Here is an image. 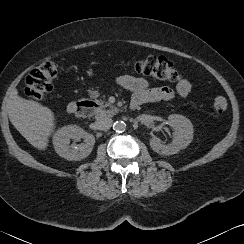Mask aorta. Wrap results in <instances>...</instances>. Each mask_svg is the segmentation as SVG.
I'll list each match as a JSON object with an SVG mask.
<instances>
[{
  "label": "aorta",
  "mask_w": 244,
  "mask_h": 244,
  "mask_svg": "<svg viewBox=\"0 0 244 244\" xmlns=\"http://www.w3.org/2000/svg\"><path fill=\"white\" fill-rule=\"evenodd\" d=\"M113 128L116 132H124L126 130V124L124 121H116L113 125Z\"/></svg>",
  "instance_id": "aorta-1"
}]
</instances>
